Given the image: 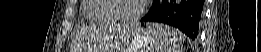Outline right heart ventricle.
<instances>
[{
	"instance_id": "1",
	"label": "right heart ventricle",
	"mask_w": 261,
	"mask_h": 52,
	"mask_svg": "<svg viewBox=\"0 0 261 52\" xmlns=\"http://www.w3.org/2000/svg\"><path fill=\"white\" fill-rule=\"evenodd\" d=\"M108 2L109 0H85L83 15L86 21L92 24H113Z\"/></svg>"
}]
</instances>
